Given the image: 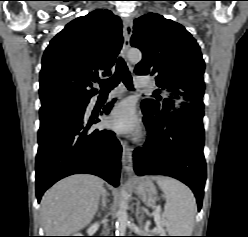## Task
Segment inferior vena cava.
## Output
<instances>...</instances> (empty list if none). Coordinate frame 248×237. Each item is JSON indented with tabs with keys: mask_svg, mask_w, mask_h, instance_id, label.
Wrapping results in <instances>:
<instances>
[{
	"mask_svg": "<svg viewBox=\"0 0 248 237\" xmlns=\"http://www.w3.org/2000/svg\"><path fill=\"white\" fill-rule=\"evenodd\" d=\"M102 196H103V206H105V196H106L105 190H102Z\"/></svg>",
	"mask_w": 248,
	"mask_h": 237,
	"instance_id": "inferior-vena-cava-1",
	"label": "inferior vena cava"
}]
</instances>
